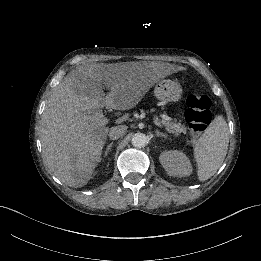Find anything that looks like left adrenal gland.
<instances>
[{
  "label": "left adrenal gland",
  "mask_w": 261,
  "mask_h": 261,
  "mask_svg": "<svg viewBox=\"0 0 261 261\" xmlns=\"http://www.w3.org/2000/svg\"><path fill=\"white\" fill-rule=\"evenodd\" d=\"M156 135H157L158 137L161 136V137L167 138V134L162 133V132H160L159 130H156Z\"/></svg>",
  "instance_id": "a2214340"
}]
</instances>
